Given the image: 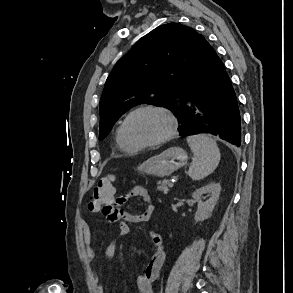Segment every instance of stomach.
I'll list each match as a JSON object with an SVG mask.
<instances>
[{"mask_svg": "<svg viewBox=\"0 0 293 293\" xmlns=\"http://www.w3.org/2000/svg\"><path fill=\"white\" fill-rule=\"evenodd\" d=\"M188 156L180 147H170L152 156L138 166V170L157 177L169 176L187 164Z\"/></svg>", "mask_w": 293, "mask_h": 293, "instance_id": "obj_1", "label": "stomach"}]
</instances>
